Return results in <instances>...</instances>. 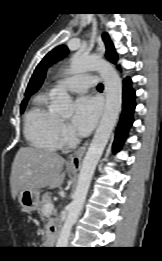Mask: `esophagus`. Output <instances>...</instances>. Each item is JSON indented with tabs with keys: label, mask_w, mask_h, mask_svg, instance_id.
Wrapping results in <instances>:
<instances>
[{
	"label": "esophagus",
	"mask_w": 162,
	"mask_h": 261,
	"mask_svg": "<svg viewBox=\"0 0 162 261\" xmlns=\"http://www.w3.org/2000/svg\"><path fill=\"white\" fill-rule=\"evenodd\" d=\"M89 145V140L86 141L80 148L69 155L67 160V167L73 170H79L81 167L82 158Z\"/></svg>",
	"instance_id": "34e87169"
}]
</instances>
